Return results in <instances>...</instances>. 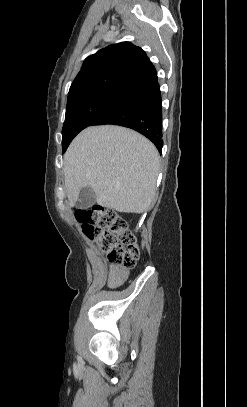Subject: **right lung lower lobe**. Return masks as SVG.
Instances as JSON below:
<instances>
[{
  "label": "right lung lower lobe",
  "instance_id": "right-lung-lower-lobe-1",
  "mask_svg": "<svg viewBox=\"0 0 247 407\" xmlns=\"http://www.w3.org/2000/svg\"><path fill=\"white\" fill-rule=\"evenodd\" d=\"M114 124L146 136L160 151L163 146L161 92L157 79L123 100L97 119L93 125Z\"/></svg>",
  "mask_w": 247,
  "mask_h": 407
}]
</instances>
